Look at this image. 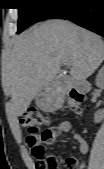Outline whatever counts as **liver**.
<instances>
[{
	"instance_id": "liver-1",
	"label": "liver",
	"mask_w": 104,
	"mask_h": 169,
	"mask_svg": "<svg viewBox=\"0 0 104 169\" xmlns=\"http://www.w3.org/2000/svg\"><path fill=\"white\" fill-rule=\"evenodd\" d=\"M104 60L103 39L65 20H47L17 37L2 71L14 112L22 116L65 62L74 81H84Z\"/></svg>"
}]
</instances>
